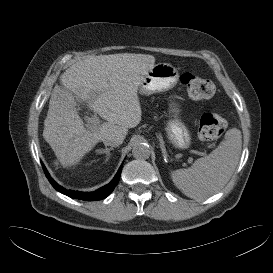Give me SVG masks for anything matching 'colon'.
<instances>
[{"label": "colon", "instance_id": "obj_1", "mask_svg": "<svg viewBox=\"0 0 273 273\" xmlns=\"http://www.w3.org/2000/svg\"><path fill=\"white\" fill-rule=\"evenodd\" d=\"M181 84L193 99H208L215 94L214 83L206 78L184 73L180 77ZM226 129L225 120L218 114L205 113L200 119L199 136L204 141L218 139Z\"/></svg>", "mask_w": 273, "mask_h": 273}]
</instances>
